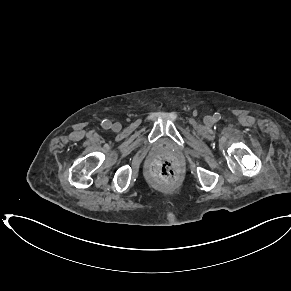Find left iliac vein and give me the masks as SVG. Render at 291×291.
Masks as SVG:
<instances>
[{"instance_id":"1","label":"left iliac vein","mask_w":291,"mask_h":291,"mask_svg":"<svg viewBox=\"0 0 291 291\" xmlns=\"http://www.w3.org/2000/svg\"><path fill=\"white\" fill-rule=\"evenodd\" d=\"M211 120H212V118H211L210 116H207V117H206V122H207V123H210Z\"/></svg>"}]
</instances>
